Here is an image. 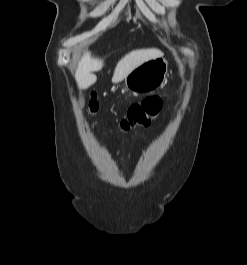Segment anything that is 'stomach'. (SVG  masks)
<instances>
[{"label": "stomach", "mask_w": 247, "mask_h": 265, "mask_svg": "<svg viewBox=\"0 0 247 265\" xmlns=\"http://www.w3.org/2000/svg\"><path fill=\"white\" fill-rule=\"evenodd\" d=\"M168 72V62L158 57L136 67L125 79L127 90L137 94H148L161 87Z\"/></svg>", "instance_id": "0dacf381"}]
</instances>
